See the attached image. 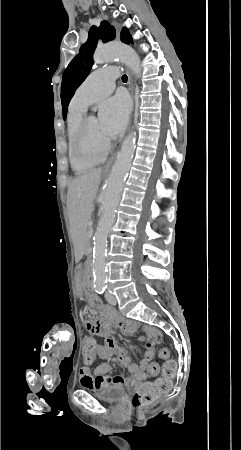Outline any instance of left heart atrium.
Listing matches in <instances>:
<instances>
[{"label":"left heart atrium","mask_w":241,"mask_h":450,"mask_svg":"<svg viewBox=\"0 0 241 450\" xmlns=\"http://www.w3.org/2000/svg\"><path fill=\"white\" fill-rule=\"evenodd\" d=\"M106 108L111 114L109 130L114 137L120 135L128 122L131 111V102L125 94H119L109 100Z\"/></svg>","instance_id":"1"}]
</instances>
